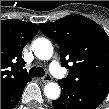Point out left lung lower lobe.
Wrapping results in <instances>:
<instances>
[{"instance_id": "obj_1", "label": "left lung lower lobe", "mask_w": 109, "mask_h": 109, "mask_svg": "<svg viewBox=\"0 0 109 109\" xmlns=\"http://www.w3.org/2000/svg\"><path fill=\"white\" fill-rule=\"evenodd\" d=\"M58 83L62 93L60 98L52 101L55 109H95L106 98L63 80Z\"/></svg>"}]
</instances>
